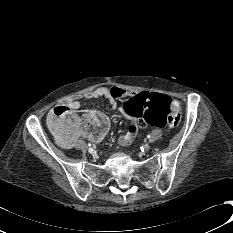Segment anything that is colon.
Returning a JSON list of instances; mask_svg holds the SVG:
<instances>
[{"label":"colon","mask_w":233,"mask_h":233,"mask_svg":"<svg viewBox=\"0 0 233 233\" xmlns=\"http://www.w3.org/2000/svg\"><path fill=\"white\" fill-rule=\"evenodd\" d=\"M120 112L129 118H140L139 127H167L175 129L181 122L180 106L170 97L160 94L141 92L134 97L125 98L120 103ZM71 110L66 105L53 108L48 118V124L55 136L72 135L90 131L91 134L103 131L107 126V119L91 111L78 113L77 118L70 122L67 118Z\"/></svg>","instance_id":"5ec220e1"}]
</instances>
